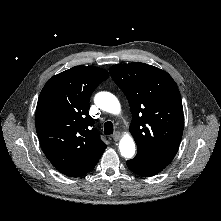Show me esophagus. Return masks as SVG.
Here are the masks:
<instances>
[{
    "label": "esophagus",
    "instance_id": "34e87169",
    "mask_svg": "<svg viewBox=\"0 0 221 221\" xmlns=\"http://www.w3.org/2000/svg\"><path fill=\"white\" fill-rule=\"evenodd\" d=\"M121 137V133L120 132H115L112 136L114 141H118Z\"/></svg>",
    "mask_w": 221,
    "mask_h": 221
}]
</instances>
